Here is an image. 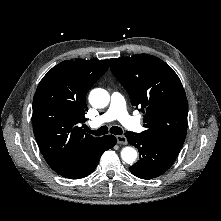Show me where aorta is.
<instances>
[{
    "label": "aorta",
    "mask_w": 221,
    "mask_h": 221,
    "mask_svg": "<svg viewBox=\"0 0 221 221\" xmlns=\"http://www.w3.org/2000/svg\"><path fill=\"white\" fill-rule=\"evenodd\" d=\"M109 93L101 88L93 89L89 94V102L95 108H104L109 104ZM121 158L124 162L132 164L137 158V152L132 147H125L121 151Z\"/></svg>",
    "instance_id": "aorta-1"
}]
</instances>
